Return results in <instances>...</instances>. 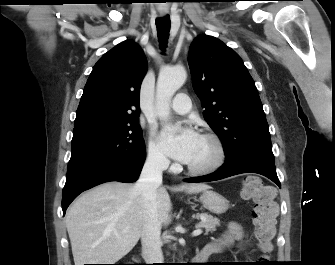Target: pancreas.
I'll return each instance as SVG.
<instances>
[{
  "label": "pancreas",
  "mask_w": 335,
  "mask_h": 265,
  "mask_svg": "<svg viewBox=\"0 0 335 265\" xmlns=\"http://www.w3.org/2000/svg\"><path fill=\"white\" fill-rule=\"evenodd\" d=\"M196 218H200L201 222L197 224L198 228H205L206 232H212L216 230V226L220 225V220L207 213L197 214Z\"/></svg>",
  "instance_id": "1"
}]
</instances>
